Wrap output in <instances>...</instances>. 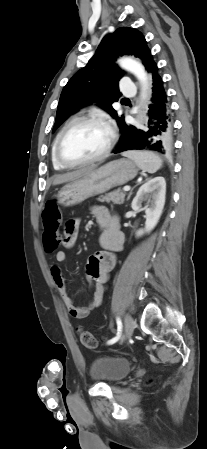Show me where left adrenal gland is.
Masks as SVG:
<instances>
[{
    "label": "left adrenal gland",
    "mask_w": 207,
    "mask_h": 449,
    "mask_svg": "<svg viewBox=\"0 0 207 449\" xmlns=\"http://www.w3.org/2000/svg\"><path fill=\"white\" fill-rule=\"evenodd\" d=\"M131 194H132V192H130V194L128 195V198H127V199H129V198H130Z\"/></svg>",
    "instance_id": "obj_1"
}]
</instances>
